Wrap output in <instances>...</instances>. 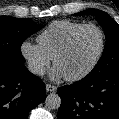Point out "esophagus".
Wrapping results in <instances>:
<instances>
[{"label": "esophagus", "instance_id": "1", "mask_svg": "<svg viewBox=\"0 0 119 119\" xmlns=\"http://www.w3.org/2000/svg\"><path fill=\"white\" fill-rule=\"evenodd\" d=\"M46 91L47 92H56L57 91V87L53 86L51 84H46Z\"/></svg>", "mask_w": 119, "mask_h": 119}]
</instances>
